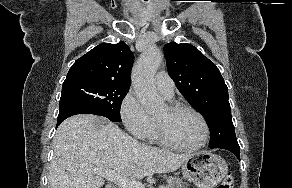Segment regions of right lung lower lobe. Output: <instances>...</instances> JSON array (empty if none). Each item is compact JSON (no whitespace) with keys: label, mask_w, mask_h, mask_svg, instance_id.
Listing matches in <instances>:
<instances>
[{"label":"right lung lower lobe","mask_w":292,"mask_h":188,"mask_svg":"<svg viewBox=\"0 0 292 188\" xmlns=\"http://www.w3.org/2000/svg\"><path fill=\"white\" fill-rule=\"evenodd\" d=\"M89 113L90 114H95L93 112H90L87 109L80 108V107H67V108L60 109L59 115L57 117V126L61 122H63L66 118H68V117H70L72 115H76V114H89ZM95 115H98V114H95ZM115 123H117V122H115Z\"/></svg>","instance_id":"1"}]
</instances>
